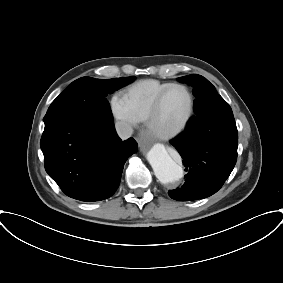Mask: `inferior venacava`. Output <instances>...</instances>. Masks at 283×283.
I'll use <instances>...</instances> for the list:
<instances>
[{
	"label": "inferior vena cava",
	"instance_id": "602c4592",
	"mask_svg": "<svg viewBox=\"0 0 283 283\" xmlns=\"http://www.w3.org/2000/svg\"><path fill=\"white\" fill-rule=\"evenodd\" d=\"M115 129H116L118 136L123 140L128 139L133 134L132 127L126 122H122V121L116 122Z\"/></svg>",
	"mask_w": 283,
	"mask_h": 283
}]
</instances>
